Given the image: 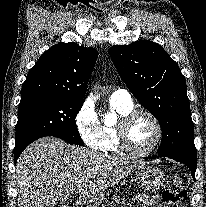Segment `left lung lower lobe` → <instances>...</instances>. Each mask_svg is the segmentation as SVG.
Returning a JSON list of instances; mask_svg holds the SVG:
<instances>
[{
	"instance_id": "0a47b994",
	"label": "left lung lower lobe",
	"mask_w": 206,
	"mask_h": 207,
	"mask_svg": "<svg viewBox=\"0 0 206 207\" xmlns=\"http://www.w3.org/2000/svg\"><path fill=\"white\" fill-rule=\"evenodd\" d=\"M162 157H168V158H171V159H174L176 161L186 164L191 170L192 177L195 179L196 159H189V158L178 157V156H162Z\"/></svg>"
}]
</instances>
